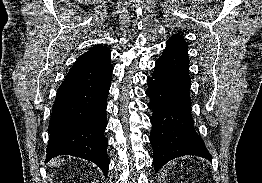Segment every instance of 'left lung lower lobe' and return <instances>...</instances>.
<instances>
[{
	"instance_id": "0a47b994",
	"label": "left lung lower lobe",
	"mask_w": 262,
	"mask_h": 183,
	"mask_svg": "<svg viewBox=\"0 0 262 183\" xmlns=\"http://www.w3.org/2000/svg\"><path fill=\"white\" fill-rule=\"evenodd\" d=\"M188 53L165 48L147 78L148 107L152 132L153 162L156 172L168 161L185 155L211 161L204 142L194 129L191 114Z\"/></svg>"
}]
</instances>
